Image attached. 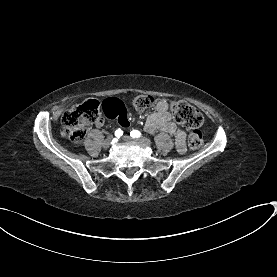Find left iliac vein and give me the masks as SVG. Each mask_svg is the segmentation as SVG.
<instances>
[{
    "mask_svg": "<svg viewBox=\"0 0 277 277\" xmlns=\"http://www.w3.org/2000/svg\"><path fill=\"white\" fill-rule=\"evenodd\" d=\"M123 140H124V141H136V142H139V143L148 145V146L151 145L150 139L145 138V137H142V138H139V139H134V138H132V137H130V136H124V137H123Z\"/></svg>",
    "mask_w": 277,
    "mask_h": 277,
    "instance_id": "obj_1",
    "label": "left iliac vein"
}]
</instances>
